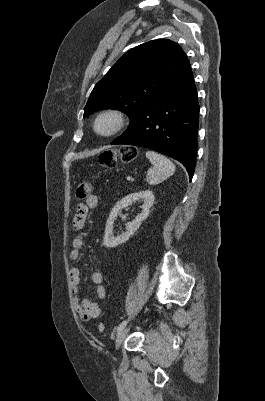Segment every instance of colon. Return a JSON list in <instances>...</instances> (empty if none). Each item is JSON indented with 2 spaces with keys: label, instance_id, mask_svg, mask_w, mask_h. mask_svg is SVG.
Masks as SVG:
<instances>
[{
  "label": "colon",
  "instance_id": "5ec220e1",
  "mask_svg": "<svg viewBox=\"0 0 265 401\" xmlns=\"http://www.w3.org/2000/svg\"><path fill=\"white\" fill-rule=\"evenodd\" d=\"M137 157V149L130 146H124L119 149H110L99 155L100 164L107 169L116 167L119 161L130 162ZM92 194V185L89 182H81L76 189V197L79 200L87 199ZM99 331H104V324L98 325Z\"/></svg>",
  "mask_w": 265,
  "mask_h": 401
}]
</instances>
